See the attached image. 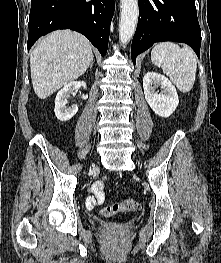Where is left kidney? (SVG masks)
<instances>
[{"label":"left kidney","mask_w":221,"mask_h":263,"mask_svg":"<svg viewBox=\"0 0 221 263\" xmlns=\"http://www.w3.org/2000/svg\"><path fill=\"white\" fill-rule=\"evenodd\" d=\"M160 86L161 93L155 92ZM143 89L147 103L156 115L169 117L177 108L179 98L175 86L163 75L148 72L143 78Z\"/></svg>","instance_id":"left-kidney-1"}]
</instances>
